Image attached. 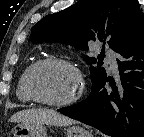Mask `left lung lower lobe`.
I'll return each instance as SVG.
<instances>
[{
    "mask_svg": "<svg viewBox=\"0 0 144 137\" xmlns=\"http://www.w3.org/2000/svg\"><path fill=\"white\" fill-rule=\"evenodd\" d=\"M118 53V85L106 76L86 100L58 111L109 136L144 137V23ZM107 82L111 92L104 88Z\"/></svg>",
    "mask_w": 144,
    "mask_h": 137,
    "instance_id": "0a47b994",
    "label": "left lung lower lobe"
}]
</instances>
